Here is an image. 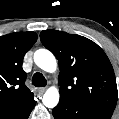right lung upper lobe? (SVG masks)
Returning <instances> with one entry per match:
<instances>
[{
	"label": "right lung upper lobe",
	"mask_w": 119,
	"mask_h": 119,
	"mask_svg": "<svg viewBox=\"0 0 119 119\" xmlns=\"http://www.w3.org/2000/svg\"><path fill=\"white\" fill-rule=\"evenodd\" d=\"M36 40L35 32H16L0 37V108L23 102L34 95L25 85L22 62Z\"/></svg>",
	"instance_id": "1"
}]
</instances>
